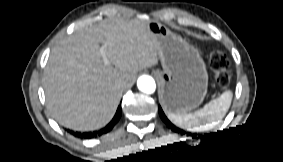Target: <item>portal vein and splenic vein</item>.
Wrapping results in <instances>:
<instances>
[{
    "instance_id": "portal-vein-and-splenic-vein-1",
    "label": "portal vein and splenic vein",
    "mask_w": 283,
    "mask_h": 162,
    "mask_svg": "<svg viewBox=\"0 0 283 162\" xmlns=\"http://www.w3.org/2000/svg\"><path fill=\"white\" fill-rule=\"evenodd\" d=\"M101 53H102L103 56L105 57V54H104V47H101ZM104 63H105V64H108V63H109L106 58L104 59Z\"/></svg>"
}]
</instances>
